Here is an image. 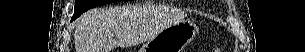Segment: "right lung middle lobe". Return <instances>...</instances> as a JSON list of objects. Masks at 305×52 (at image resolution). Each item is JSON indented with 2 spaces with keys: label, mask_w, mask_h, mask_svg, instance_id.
Masks as SVG:
<instances>
[{
  "label": "right lung middle lobe",
  "mask_w": 305,
  "mask_h": 52,
  "mask_svg": "<svg viewBox=\"0 0 305 52\" xmlns=\"http://www.w3.org/2000/svg\"><path fill=\"white\" fill-rule=\"evenodd\" d=\"M115 1H120V0H76L75 1V10H74V15L73 19H76L79 17L82 13L86 12L87 10L106 4V3H111Z\"/></svg>",
  "instance_id": "1"
}]
</instances>
